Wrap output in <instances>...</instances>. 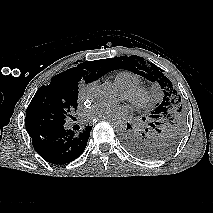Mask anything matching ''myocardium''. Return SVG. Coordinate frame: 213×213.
<instances>
[{
    "mask_svg": "<svg viewBox=\"0 0 213 213\" xmlns=\"http://www.w3.org/2000/svg\"><path fill=\"white\" fill-rule=\"evenodd\" d=\"M123 92L125 94V99L138 110L150 109L154 103V98L150 89L145 86L137 85L132 88H125Z\"/></svg>",
    "mask_w": 213,
    "mask_h": 213,
    "instance_id": "1",
    "label": "myocardium"
}]
</instances>
